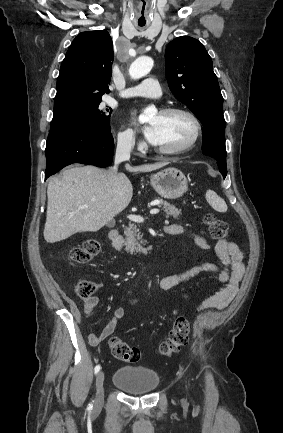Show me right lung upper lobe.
I'll list each match as a JSON object with an SVG mask.
<instances>
[{"label":"right lung upper lobe","mask_w":283,"mask_h":433,"mask_svg":"<svg viewBox=\"0 0 283 433\" xmlns=\"http://www.w3.org/2000/svg\"><path fill=\"white\" fill-rule=\"evenodd\" d=\"M113 43L106 30L80 33L61 64L54 112L102 100L110 92Z\"/></svg>","instance_id":"obj_1"}]
</instances>
